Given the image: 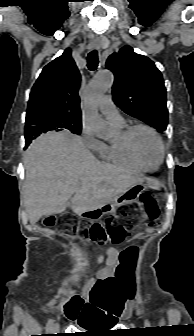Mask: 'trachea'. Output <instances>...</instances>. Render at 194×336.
I'll use <instances>...</instances> for the list:
<instances>
[{
	"label": "trachea",
	"instance_id": "trachea-1",
	"mask_svg": "<svg viewBox=\"0 0 194 336\" xmlns=\"http://www.w3.org/2000/svg\"><path fill=\"white\" fill-rule=\"evenodd\" d=\"M88 68L93 71L98 66V53L96 50L91 51L87 57Z\"/></svg>",
	"mask_w": 194,
	"mask_h": 336
}]
</instances>
